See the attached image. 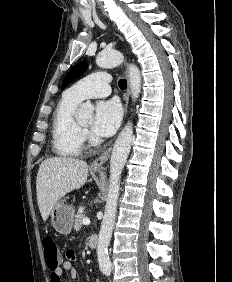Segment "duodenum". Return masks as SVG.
<instances>
[{"label": "duodenum", "instance_id": "1", "mask_svg": "<svg viewBox=\"0 0 232 282\" xmlns=\"http://www.w3.org/2000/svg\"><path fill=\"white\" fill-rule=\"evenodd\" d=\"M88 245L90 248H97L99 245V238L97 235H91L88 239Z\"/></svg>", "mask_w": 232, "mask_h": 282}]
</instances>
